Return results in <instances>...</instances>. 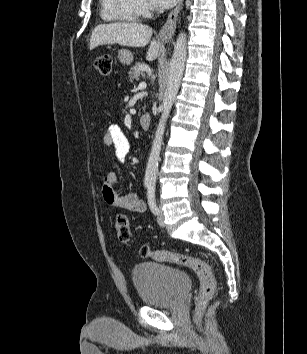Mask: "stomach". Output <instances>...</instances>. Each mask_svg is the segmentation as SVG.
Returning a JSON list of instances; mask_svg holds the SVG:
<instances>
[{"label":"stomach","instance_id":"0dacf381","mask_svg":"<svg viewBox=\"0 0 307 354\" xmlns=\"http://www.w3.org/2000/svg\"><path fill=\"white\" fill-rule=\"evenodd\" d=\"M118 59L123 65H130L133 61V54L126 49H121L118 52Z\"/></svg>","mask_w":307,"mask_h":354}]
</instances>
